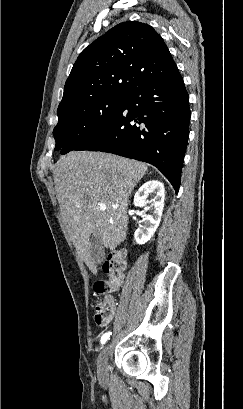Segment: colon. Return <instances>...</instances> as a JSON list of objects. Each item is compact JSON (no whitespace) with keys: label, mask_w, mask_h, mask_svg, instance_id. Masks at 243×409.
Masks as SVG:
<instances>
[{"label":"colon","mask_w":243,"mask_h":409,"mask_svg":"<svg viewBox=\"0 0 243 409\" xmlns=\"http://www.w3.org/2000/svg\"><path fill=\"white\" fill-rule=\"evenodd\" d=\"M126 269V258L123 250H115L109 256L104 265V270L109 274V280L99 281L94 285V290L99 295L109 294L115 291L122 283ZM113 316V309L105 298L98 300L95 306L94 320L97 325L103 326L109 323Z\"/></svg>","instance_id":"colon-1"}]
</instances>
